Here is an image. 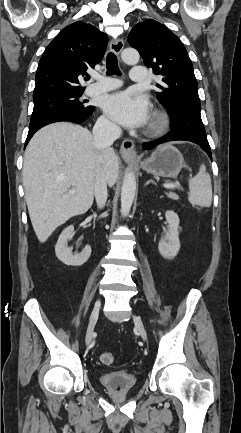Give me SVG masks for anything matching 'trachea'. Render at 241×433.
<instances>
[{"mask_svg": "<svg viewBox=\"0 0 241 433\" xmlns=\"http://www.w3.org/2000/svg\"><path fill=\"white\" fill-rule=\"evenodd\" d=\"M106 68H107L108 75H112V74L120 75L117 57L112 52H110L106 57Z\"/></svg>", "mask_w": 241, "mask_h": 433, "instance_id": "1", "label": "trachea"}]
</instances>
